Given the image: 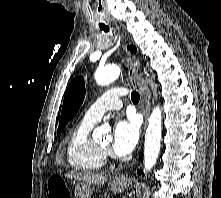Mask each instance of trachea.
Masks as SVG:
<instances>
[{"label":"trachea","mask_w":221,"mask_h":198,"mask_svg":"<svg viewBox=\"0 0 221 198\" xmlns=\"http://www.w3.org/2000/svg\"><path fill=\"white\" fill-rule=\"evenodd\" d=\"M101 29H102L104 32H109V27H101ZM139 99H140L139 94H138L136 91H133V92L131 93V100H132L134 103H138V102H139Z\"/></svg>","instance_id":"3493384b"}]
</instances>
